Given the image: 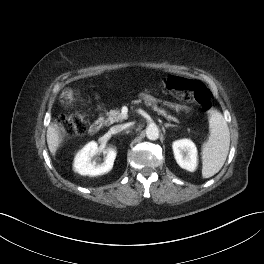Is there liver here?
Returning <instances> with one entry per match:
<instances>
[{"label": "liver", "instance_id": "1", "mask_svg": "<svg viewBox=\"0 0 264 264\" xmlns=\"http://www.w3.org/2000/svg\"><path fill=\"white\" fill-rule=\"evenodd\" d=\"M46 138H47L48 148L51 154L55 155L56 151L60 147L62 140H63L57 126L55 125L48 126Z\"/></svg>", "mask_w": 264, "mask_h": 264}]
</instances>
